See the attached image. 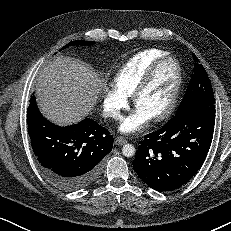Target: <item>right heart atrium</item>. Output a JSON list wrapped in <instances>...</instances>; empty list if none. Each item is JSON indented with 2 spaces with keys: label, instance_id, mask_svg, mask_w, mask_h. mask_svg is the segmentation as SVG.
<instances>
[{
  "label": "right heart atrium",
  "instance_id": "right-heart-atrium-1",
  "mask_svg": "<svg viewBox=\"0 0 231 231\" xmlns=\"http://www.w3.org/2000/svg\"><path fill=\"white\" fill-rule=\"evenodd\" d=\"M104 115L119 120L128 105V97L115 86H106L102 94Z\"/></svg>",
  "mask_w": 231,
  "mask_h": 231
}]
</instances>
